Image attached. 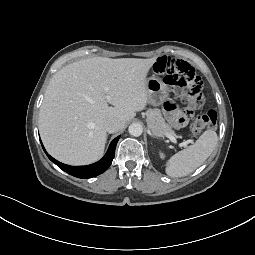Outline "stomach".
<instances>
[{
  "label": "stomach",
  "instance_id": "obj_1",
  "mask_svg": "<svg viewBox=\"0 0 255 255\" xmlns=\"http://www.w3.org/2000/svg\"><path fill=\"white\" fill-rule=\"evenodd\" d=\"M148 102L154 106L163 105L169 98L166 84L155 77L146 80Z\"/></svg>",
  "mask_w": 255,
  "mask_h": 255
}]
</instances>
